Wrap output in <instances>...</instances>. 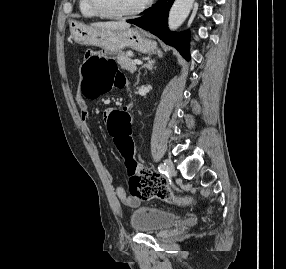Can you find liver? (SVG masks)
Instances as JSON below:
<instances>
[{"label": "liver", "instance_id": "6515ba94", "mask_svg": "<svg viewBox=\"0 0 286 269\" xmlns=\"http://www.w3.org/2000/svg\"><path fill=\"white\" fill-rule=\"evenodd\" d=\"M91 26L95 28L112 30V31L125 30L130 28V24L124 21L97 22V23H92Z\"/></svg>", "mask_w": 286, "mask_h": 269}]
</instances>
